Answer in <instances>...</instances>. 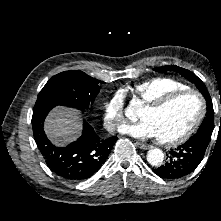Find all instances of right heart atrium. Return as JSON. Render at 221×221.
Here are the masks:
<instances>
[{
	"instance_id": "obj_1",
	"label": "right heart atrium",
	"mask_w": 221,
	"mask_h": 221,
	"mask_svg": "<svg viewBox=\"0 0 221 221\" xmlns=\"http://www.w3.org/2000/svg\"><path fill=\"white\" fill-rule=\"evenodd\" d=\"M125 101L121 91L115 92L104 105L103 120L110 132H115L125 122Z\"/></svg>"
}]
</instances>
